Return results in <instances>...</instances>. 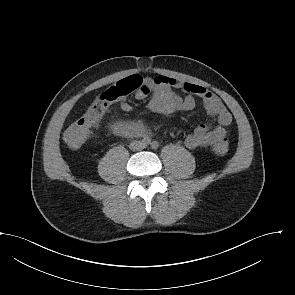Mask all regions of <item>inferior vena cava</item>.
I'll list each match as a JSON object with an SVG mask.
<instances>
[{
  "instance_id": "inferior-vena-cava-1",
  "label": "inferior vena cava",
  "mask_w": 295,
  "mask_h": 295,
  "mask_svg": "<svg viewBox=\"0 0 295 295\" xmlns=\"http://www.w3.org/2000/svg\"><path fill=\"white\" fill-rule=\"evenodd\" d=\"M142 148L143 146H142V143H140V141H135L131 144V149L133 150H140Z\"/></svg>"
}]
</instances>
